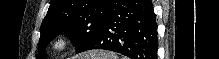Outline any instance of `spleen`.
<instances>
[{"label":"spleen","instance_id":"3e777b00","mask_svg":"<svg viewBox=\"0 0 219 59\" xmlns=\"http://www.w3.org/2000/svg\"><path fill=\"white\" fill-rule=\"evenodd\" d=\"M90 55H92V53H90ZM101 56V57H100ZM99 57H91L92 59L94 58H96V59H100V58H104V59H107V55H105V54H101Z\"/></svg>","mask_w":219,"mask_h":59}]
</instances>
